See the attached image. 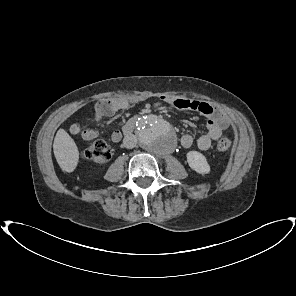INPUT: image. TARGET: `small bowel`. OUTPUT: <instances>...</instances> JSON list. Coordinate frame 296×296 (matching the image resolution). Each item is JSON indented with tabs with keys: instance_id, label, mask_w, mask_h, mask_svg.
<instances>
[{
	"instance_id": "obj_1",
	"label": "small bowel",
	"mask_w": 296,
	"mask_h": 296,
	"mask_svg": "<svg viewBox=\"0 0 296 296\" xmlns=\"http://www.w3.org/2000/svg\"><path fill=\"white\" fill-rule=\"evenodd\" d=\"M162 99L177 109L197 111L207 118V130L196 140L189 133H185L180 137V143L185 148H189L195 143L198 149L202 151L208 150L212 142L221 137L223 131L230 125L229 117L222 110L208 102L171 96H165ZM131 104L132 101L122 98L101 100L94 107V119L96 122H99L103 117L111 116L118 111L127 109ZM185 126L190 128L192 123L186 121ZM69 130L72 135L79 136L87 141L93 140L99 135L97 129L83 127L78 123L72 124ZM123 134V129L114 130L109 137L112 142H119Z\"/></svg>"
}]
</instances>
